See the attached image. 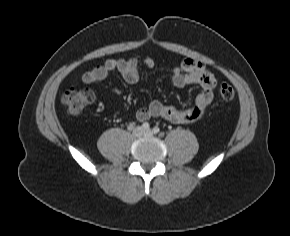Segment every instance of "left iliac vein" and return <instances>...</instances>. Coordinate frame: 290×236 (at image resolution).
I'll return each instance as SVG.
<instances>
[{
    "instance_id": "obj_1",
    "label": "left iliac vein",
    "mask_w": 290,
    "mask_h": 236,
    "mask_svg": "<svg viewBox=\"0 0 290 236\" xmlns=\"http://www.w3.org/2000/svg\"><path fill=\"white\" fill-rule=\"evenodd\" d=\"M145 134L148 136H152L154 134V132L152 130H146Z\"/></svg>"
}]
</instances>
